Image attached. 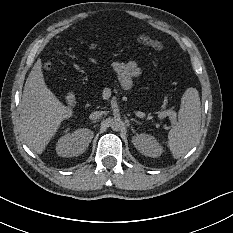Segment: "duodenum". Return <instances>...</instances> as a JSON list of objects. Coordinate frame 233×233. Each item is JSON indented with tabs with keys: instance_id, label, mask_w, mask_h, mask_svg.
I'll return each mask as SVG.
<instances>
[{
	"instance_id": "1",
	"label": "duodenum",
	"mask_w": 233,
	"mask_h": 233,
	"mask_svg": "<svg viewBox=\"0 0 233 233\" xmlns=\"http://www.w3.org/2000/svg\"><path fill=\"white\" fill-rule=\"evenodd\" d=\"M77 101V93L74 91H71L66 96V102L69 106L73 107L76 104Z\"/></svg>"
}]
</instances>
